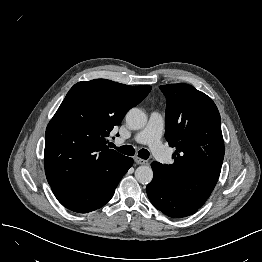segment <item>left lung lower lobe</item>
<instances>
[{
	"instance_id": "1",
	"label": "left lung lower lobe",
	"mask_w": 262,
	"mask_h": 262,
	"mask_svg": "<svg viewBox=\"0 0 262 262\" xmlns=\"http://www.w3.org/2000/svg\"><path fill=\"white\" fill-rule=\"evenodd\" d=\"M151 166L154 178L146 191L154 207L172 218H183L196 213L199 208L188 202L168 184L163 165L155 161Z\"/></svg>"
}]
</instances>
